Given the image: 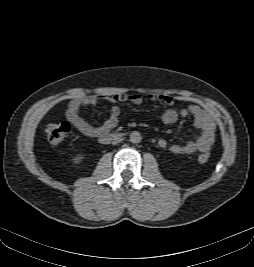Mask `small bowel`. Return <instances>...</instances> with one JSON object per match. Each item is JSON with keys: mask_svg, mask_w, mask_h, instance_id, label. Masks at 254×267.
<instances>
[{"mask_svg": "<svg viewBox=\"0 0 254 267\" xmlns=\"http://www.w3.org/2000/svg\"><path fill=\"white\" fill-rule=\"evenodd\" d=\"M113 103H131L138 105L142 103L140 95L113 94L103 97ZM97 96H86L73 99L67 105L65 110L66 119L83 135L91 138H101L114 129L120 121L121 108L114 105L110 109V115L101 126H93L85 121L79 111L84 106H95L98 102ZM152 101L159 102L166 107L162 114V121L165 124H173L180 117L185 118L192 116L194 125L198 130V134L184 143H176L170 146V151L177 155H192L197 152H207L211 148L215 140V123L212 117L197 105H191L180 110L174 109L173 98L167 95H150ZM160 147H167L164 139L158 141Z\"/></svg>", "mask_w": 254, "mask_h": 267, "instance_id": "1", "label": "small bowel"}]
</instances>
